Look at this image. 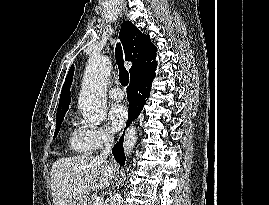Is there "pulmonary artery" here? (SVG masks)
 <instances>
[{
  "label": "pulmonary artery",
  "instance_id": "1",
  "mask_svg": "<svg viewBox=\"0 0 269 205\" xmlns=\"http://www.w3.org/2000/svg\"><path fill=\"white\" fill-rule=\"evenodd\" d=\"M109 96L113 100H122L124 98L125 94L121 88L115 87L109 91Z\"/></svg>",
  "mask_w": 269,
  "mask_h": 205
}]
</instances>
